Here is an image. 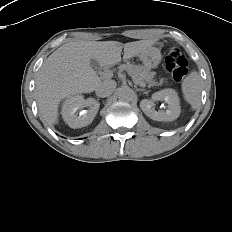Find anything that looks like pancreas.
Instances as JSON below:
<instances>
[{
  "label": "pancreas",
  "instance_id": "pancreas-1",
  "mask_svg": "<svg viewBox=\"0 0 232 232\" xmlns=\"http://www.w3.org/2000/svg\"><path fill=\"white\" fill-rule=\"evenodd\" d=\"M119 71H127V73L132 77V79L138 83L146 82L149 86L153 85H162L164 80H160L159 83L154 82L153 78L155 76V72H152L149 67L133 65L129 62L125 64H121L118 67Z\"/></svg>",
  "mask_w": 232,
  "mask_h": 232
}]
</instances>
